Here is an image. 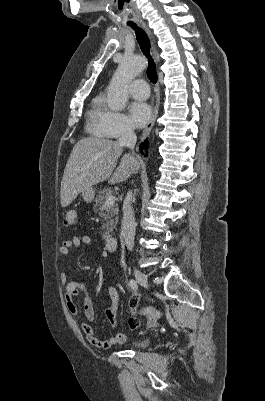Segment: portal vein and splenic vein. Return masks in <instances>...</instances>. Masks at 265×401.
Segmentation results:
<instances>
[{"mask_svg": "<svg viewBox=\"0 0 265 401\" xmlns=\"http://www.w3.org/2000/svg\"><path fill=\"white\" fill-rule=\"evenodd\" d=\"M113 203H115V196L111 194V196H107L104 207H110Z\"/></svg>", "mask_w": 265, "mask_h": 401, "instance_id": "18ae733b", "label": "portal vein and splenic vein"}]
</instances>
